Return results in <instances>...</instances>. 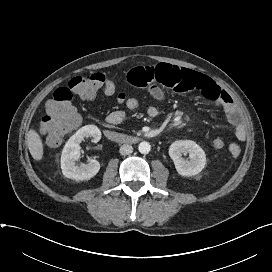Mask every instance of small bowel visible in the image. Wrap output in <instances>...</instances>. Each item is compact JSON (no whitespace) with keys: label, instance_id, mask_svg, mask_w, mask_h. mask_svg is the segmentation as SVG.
<instances>
[{"label":"small bowel","instance_id":"small-bowel-1","mask_svg":"<svg viewBox=\"0 0 272 272\" xmlns=\"http://www.w3.org/2000/svg\"><path fill=\"white\" fill-rule=\"evenodd\" d=\"M127 80L135 87L147 89L157 99H162L164 91L168 89L181 94H198L221 107L235 130V141L229 144L228 151L232 156L239 154L240 146L246 138V129L240 113L232 97L207 76L170 64H155L131 69L127 73ZM158 113L155 106L147 108V114L152 118ZM125 117L124 110H115L108 114L105 122L108 125H118Z\"/></svg>","mask_w":272,"mask_h":272}]
</instances>
